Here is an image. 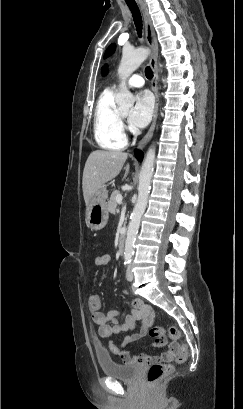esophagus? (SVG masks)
Wrapping results in <instances>:
<instances>
[{
  "label": "esophagus",
  "instance_id": "1",
  "mask_svg": "<svg viewBox=\"0 0 243 409\" xmlns=\"http://www.w3.org/2000/svg\"><path fill=\"white\" fill-rule=\"evenodd\" d=\"M141 10L143 13V18H144V24H145V39L147 42V45L151 49V56L149 59V64L152 68L153 71V78L151 80V88L154 92L155 95V108H154V114H153V120L151 123V126L147 132V134L141 139V141L137 145V149H143L147 143L150 141V139L153 136L154 129H155V124L157 120V113H158V104H159V96H158V43L156 40L154 28L152 25L151 18L149 16L148 10L145 6L144 3H141Z\"/></svg>",
  "mask_w": 243,
  "mask_h": 409
}]
</instances>
